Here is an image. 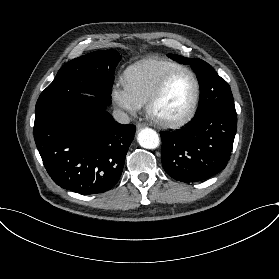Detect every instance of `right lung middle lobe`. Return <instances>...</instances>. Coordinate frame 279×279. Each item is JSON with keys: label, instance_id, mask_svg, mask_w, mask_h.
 I'll return each mask as SVG.
<instances>
[{"label": "right lung middle lobe", "instance_id": "dd1d6c3e", "mask_svg": "<svg viewBox=\"0 0 279 279\" xmlns=\"http://www.w3.org/2000/svg\"><path fill=\"white\" fill-rule=\"evenodd\" d=\"M120 60L121 56L117 51L103 50L69 61L41 93L35 110L63 98L84 93L93 95L109 106L114 70Z\"/></svg>", "mask_w": 279, "mask_h": 279}]
</instances>
